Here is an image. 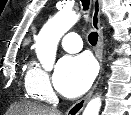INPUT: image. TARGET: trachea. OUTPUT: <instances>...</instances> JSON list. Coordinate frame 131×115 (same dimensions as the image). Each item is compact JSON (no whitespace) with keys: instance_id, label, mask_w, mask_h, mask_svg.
Segmentation results:
<instances>
[{"instance_id":"obj_1","label":"trachea","mask_w":131,"mask_h":115,"mask_svg":"<svg viewBox=\"0 0 131 115\" xmlns=\"http://www.w3.org/2000/svg\"><path fill=\"white\" fill-rule=\"evenodd\" d=\"M90 1L89 0H82L83 9L86 11L89 8ZM88 40L91 45L95 46L98 41V33L91 32L88 36Z\"/></svg>"}]
</instances>
